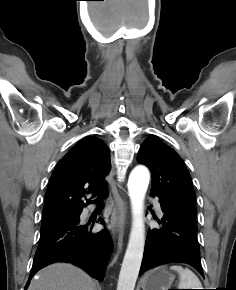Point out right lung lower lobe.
Here are the masks:
<instances>
[{"mask_svg":"<svg viewBox=\"0 0 236 290\" xmlns=\"http://www.w3.org/2000/svg\"><path fill=\"white\" fill-rule=\"evenodd\" d=\"M107 195V194H106ZM76 221L41 232L29 280L34 274L54 262H71L83 268L92 277L103 280L112 238L107 229L92 232V227ZM104 224V220L99 218Z\"/></svg>","mask_w":236,"mask_h":290,"instance_id":"98d812e1","label":"right lung lower lobe"}]
</instances>
